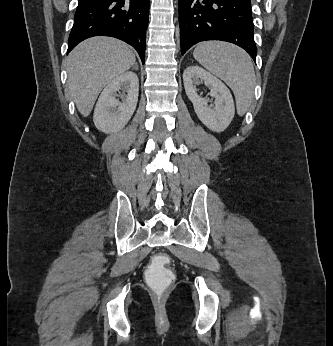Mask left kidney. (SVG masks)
<instances>
[{
  "instance_id": "obj_1",
  "label": "left kidney",
  "mask_w": 333,
  "mask_h": 346,
  "mask_svg": "<svg viewBox=\"0 0 333 346\" xmlns=\"http://www.w3.org/2000/svg\"><path fill=\"white\" fill-rule=\"evenodd\" d=\"M183 81L186 94L193 103L195 113L200 121L212 131H224L235 114L234 101L227 86L199 66L187 67L183 73ZM202 82L210 88L211 95L215 97L213 109L208 106L207 99L197 94L196 86Z\"/></svg>"
}]
</instances>
